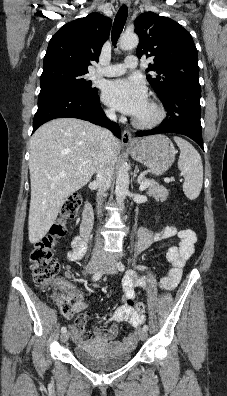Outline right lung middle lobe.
I'll return each instance as SVG.
<instances>
[{"mask_svg": "<svg viewBox=\"0 0 227 396\" xmlns=\"http://www.w3.org/2000/svg\"><path fill=\"white\" fill-rule=\"evenodd\" d=\"M88 71L71 68H52L44 70L41 75V91L51 88H67L82 94L92 95L98 92L92 87V82L87 81L84 75Z\"/></svg>", "mask_w": 227, "mask_h": 396, "instance_id": "dd1d6c3e", "label": "right lung middle lobe"}]
</instances>
